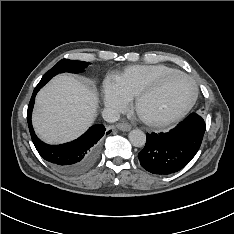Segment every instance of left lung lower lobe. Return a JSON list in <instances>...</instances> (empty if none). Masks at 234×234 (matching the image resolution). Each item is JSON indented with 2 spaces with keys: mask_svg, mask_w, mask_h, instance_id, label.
<instances>
[{
  "mask_svg": "<svg viewBox=\"0 0 234 234\" xmlns=\"http://www.w3.org/2000/svg\"><path fill=\"white\" fill-rule=\"evenodd\" d=\"M206 125L191 113L167 133L147 134L144 149L138 154L141 166L153 174H171L185 167L200 148Z\"/></svg>",
  "mask_w": 234,
  "mask_h": 234,
  "instance_id": "0a47b994",
  "label": "left lung lower lobe"
}]
</instances>
